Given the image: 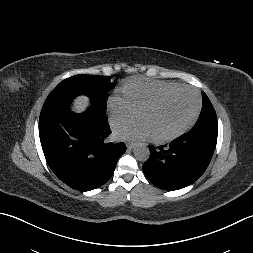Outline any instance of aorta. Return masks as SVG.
I'll use <instances>...</instances> for the list:
<instances>
[{"mask_svg": "<svg viewBox=\"0 0 253 253\" xmlns=\"http://www.w3.org/2000/svg\"><path fill=\"white\" fill-rule=\"evenodd\" d=\"M134 156L141 162L147 161L150 156V151L147 145L143 143L136 145L134 148Z\"/></svg>", "mask_w": 253, "mask_h": 253, "instance_id": "1", "label": "aorta"}]
</instances>
